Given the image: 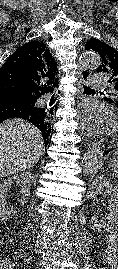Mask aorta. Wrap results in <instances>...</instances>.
Returning a JSON list of instances; mask_svg holds the SVG:
<instances>
[{
    "label": "aorta",
    "mask_w": 118,
    "mask_h": 269,
    "mask_svg": "<svg viewBox=\"0 0 118 269\" xmlns=\"http://www.w3.org/2000/svg\"><path fill=\"white\" fill-rule=\"evenodd\" d=\"M80 62L84 67L96 68L101 64L99 55L95 52H84L80 57ZM103 163V152L98 147L90 149L81 161V171L84 174L92 175L99 171Z\"/></svg>",
    "instance_id": "1"
}]
</instances>
